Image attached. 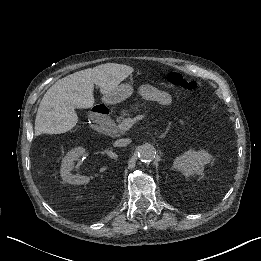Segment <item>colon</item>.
Listing matches in <instances>:
<instances>
[{
    "label": "colon",
    "instance_id": "1",
    "mask_svg": "<svg viewBox=\"0 0 261 261\" xmlns=\"http://www.w3.org/2000/svg\"><path fill=\"white\" fill-rule=\"evenodd\" d=\"M167 82L186 90H195L198 88V83L196 81L190 80L184 77L182 74L175 72L168 73Z\"/></svg>",
    "mask_w": 261,
    "mask_h": 261
}]
</instances>
